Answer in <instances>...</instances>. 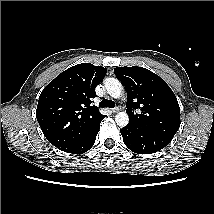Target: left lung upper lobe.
Here are the masks:
<instances>
[{
	"instance_id": "left-lung-upper-lobe-1",
	"label": "left lung upper lobe",
	"mask_w": 214,
	"mask_h": 214,
	"mask_svg": "<svg viewBox=\"0 0 214 214\" xmlns=\"http://www.w3.org/2000/svg\"><path fill=\"white\" fill-rule=\"evenodd\" d=\"M127 91L128 125L173 137L180 127V108L167 83L143 67H117Z\"/></svg>"
}]
</instances>
